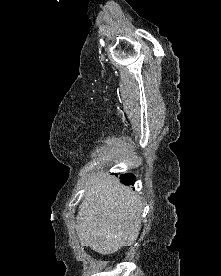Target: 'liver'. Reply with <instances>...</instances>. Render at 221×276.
Returning <instances> with one entry per match:
<instances>
[{
    "label": "liver",
    "mask_w": 221,
    "mask_h": 276,
    "mask_svg": "<svg viewBox=\"0 0 221 276\" xmlns=\"http://www.w3.org/2000/svg\"><path fill=\"white\" fill-rule=\"evenodd\" d=\"M142 202L131 188L104 172L87 185L79 206L76 232L82 246L112 254L131 246L141 230Z\"/></svg>",
    "instance_id": "liver-1"
}]
</instances>
